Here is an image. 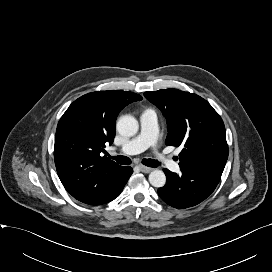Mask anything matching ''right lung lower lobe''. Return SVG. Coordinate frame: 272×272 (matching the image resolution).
Listing matches in <instances>:
<instances>
[{"mask_svg":"<svg viewBox=\"0 0 272 272\" xmlns=\"http://www.w3.org/2000/svg\"><path fill=\"white\" fill-rule=\"evenodd\" d=\"M132 173L130 166H121L112 174L101 179L95 186L73 197L89 205L108 203L119 196Z\"/></svg>","mask_w":272,"mask_h":272,"instance_id":"obj_1","label":"right lung lower lobe"}]
</instances>
